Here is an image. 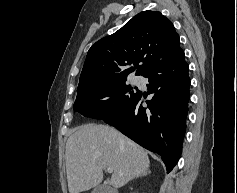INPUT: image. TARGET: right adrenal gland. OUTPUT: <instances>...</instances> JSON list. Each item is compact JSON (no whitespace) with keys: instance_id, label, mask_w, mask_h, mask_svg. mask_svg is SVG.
Segmentation results:
<instances>
[{"instance_id":"2a0ac1e0","label":"right adrenal gland","mask_w":237,"mask_h":193,"mask_svg":"<svg viewBox=\"0 0 237 193\" xmlns=\"http://www.w3.org/2000/svg\"><path fill=\"white\" fill-rule=\"evenodd\" d=\"M148 173H149V172H148ZM144 175H146V173H141V174L135 176L134 178H137V177H139V176H144Z\"/></svg>"}]
</instances>
